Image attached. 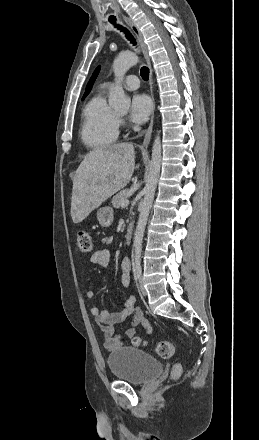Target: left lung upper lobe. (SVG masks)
Here are the masks:
<instances>
[{"mask_svg":"<svg viewBox=\"0 0 259 440\" xmlns=\"http://www.w3.org/2000/svg\"><path fill=\"white\" fill-rule=\"evenodd\" d=\"M99 71H100V66L97 67L96 70L94 71V73H93V75H92V77H91V79H90V81H89V83H88V85H87L86 92H85V94H84V96H83V99H84V98L86 97V95L90 92L91 86L93 85V83H94V81H95V79H96V77H97Z\"/></svg>","mask_w":259,"mask_h":440,"instance_id":"5c2ea615","label":"left lung upper lobe"}]
</instances>
